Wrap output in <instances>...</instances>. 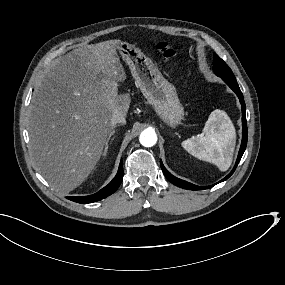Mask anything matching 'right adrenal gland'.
I'll return each mask as SVG.
<instances>
[{
    "mask_svg": "<svg viewBox=\"0 0 285 285\" xmlns=\"http://www.w3.org/2000/svg\"><path fill=\"white\" fill-rule=\"evenodd\" d=\"M114 134H115V131H112L111 134H110V136H109V138L107 139V143H108L109 141H113V138H111V137H112ZM107 150H108V146L106 145V146H105V149H104V154L106 153Z\"/></svg>",
    "mask_w": 285,
    "mask_h": 285,
    "instance_id": "right-adrenal-gland-1",
    "label": "right adrenal gland"
}]
</instances>
